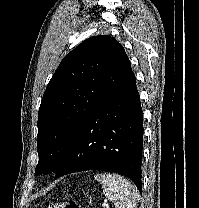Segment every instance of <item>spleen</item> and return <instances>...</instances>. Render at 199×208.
<instances>
[{
    "label": "spleen",
    "mask_w": 199,
    "mask_h": 208,
    "mask_svg": "<svg viewBox=\"0 0 199 208\" xmlns=\"http://www.w3.org/2000/svg\"><path fill=\"white\" fill-rule=\"evenodd\" d=\"M100 182L104 195L113 202L115 208H135L139 201L137 188L126 178L112 174L101 173L95 175Z\"/></svg>",
    "instance_id": "spleen-1"
}]
</instances>
